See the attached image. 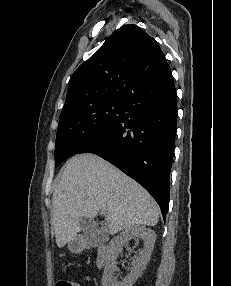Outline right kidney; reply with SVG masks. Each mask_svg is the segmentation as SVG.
<instances>
[{
    "label": "right kidney",
    "instance_id": "1",
    "mask_svg": "<svg viewBox=\"0 0 231 286\" xmlns=\"http://www.w3.org/2000/svg\"><path fill=\"white\" fill-rule=\"evenodd\" d=\"M131 239H142L144 247L133 260L130 273L122 281L118 282L113 276L114 272L118 269L117 258L122 252L123 247L128 246ZM155 241V232L145 226L129 227L114 237L109 246L108 259L102 277V286H132L145 270L150 260Z\"/></svg>",
    "mask_w": 231,
    "mask_h": 286
}]
</instances>
